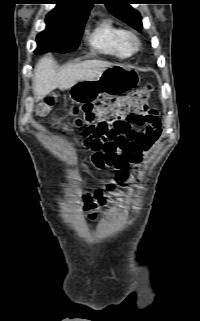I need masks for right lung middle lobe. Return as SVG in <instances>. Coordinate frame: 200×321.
I'll use <instances>...</instances> for the list:
<instances>
[{
    "label": "right lung middle lobe",
    "instance_id": "1",
    "mask_svg": "<svg viewBox=\"0 0 200 321\" xmlns=\"http://www.w3.org/2000/svg\"><path fill=\"white\" fill-rule=\"evenodd\" d=\"M89 13L55 17L47 14L46 28L37 35L36 54L48 51L70 52L79 45L84 24Z\"/></svg>",
    "mask_w": 200,
    "mask_h": 321
}]
</instances>
